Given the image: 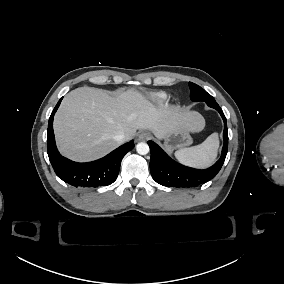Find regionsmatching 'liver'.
Segmentation results:
<instances>
[{
  "label": "liver",
  "instance_id": "6515ba94",
  "mask_svg": "<svg viewBox=\"0 0 284 284\" xmlns=\"http://www.w3.org/2000/svg\"><path fill=\"white\" fill-rule=\"evenodd\" d=\"M176 126L200 132L205 119L179 107L157 108L134 89L111 97L101 89L77 88L64 97L54 118L59 151L76 161L95 160L117 148V133L129 141L138 129H148L163 138Z\"/></svg>",
  "mask_w": 284,
  "mask_h": 284
}]
</instances>
